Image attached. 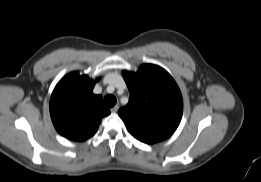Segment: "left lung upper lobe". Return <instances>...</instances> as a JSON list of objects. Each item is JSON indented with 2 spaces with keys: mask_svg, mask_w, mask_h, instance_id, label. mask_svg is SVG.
<instances>
[{
  "mask_svg": "<svg viewBox=\"0 0 261 182\" xmlns=\"http://www.w3.org/2000/svg\"><path fill=\"white\" fill-rule=\"evenodd\" d=\"M130 91L129 103L118 114L138 140L153 144L170 137L183 111L181 92L163 68L142 65L137 73L123 72Z\"/></svg>",
  "mask_w": 261,
  "mask_h": 182,
  "instance_id": "obj_1",
  "label": "left lung upper lobe"
}]
</instances>
